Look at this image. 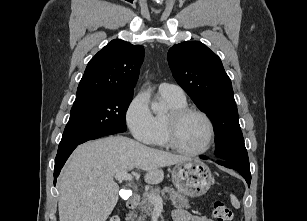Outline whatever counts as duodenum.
Returning a JSON list of instances; mask_svg holds the SVG:
<instances>
[{"label": "duodenum", "mask_w": 307, "mask_h": 221, "mask_svg": "<svg viewBox=\"0 0 307 221\" xmlns=\"http://www.w3.org/2000/svg\"><path fill=\"white\" fill-rule=\"evenodd\" d=\"M138 203H139L138 196H132L127 200V208L129 210H134L137 207Z\"/></svg>", "instance_id": "1"}]
</instances>
